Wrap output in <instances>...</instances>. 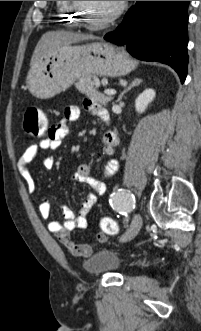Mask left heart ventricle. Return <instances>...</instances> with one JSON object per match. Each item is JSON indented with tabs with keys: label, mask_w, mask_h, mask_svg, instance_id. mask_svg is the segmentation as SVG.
I'll return each instance as SVG.
<instances>
[{
	"label": "left heart ventricle",
	"mask_w": 201,
	"mask_h": 331,
	"mask_svg": "<svg viewBox=\"0 0 201 331\" xmlns=\"http://www.w3.org/2000/svg\"><path fill=\"white\" fill-rule=\"evenodd\" d=\"M84 17L89 22H100L114 12L118 1H81Z\"/></svg>",
	"instance_id": "left-heart-ventricle-1"
}]
</instances>
